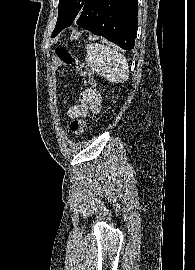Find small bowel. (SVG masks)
<instances>
[{
	"mask_svg": "<svg viewBox=\"0 0 195 270\" xmlns=\"http://www.w3.org/2000/svg\"><path fill=\"white\" fill-rule=\"evenodd\" d=\"M101 102L100 94L96 90L87 89L80 96V103L72 106L68 110L70 118L84 117L88 114L89 109L99 110Z\"/></svg>",
	"mask_w": 195,
	"mask_h": 270,
	"instance_id": "small-bowel-1",
	"label": "small bowel"
}]
</instances>
